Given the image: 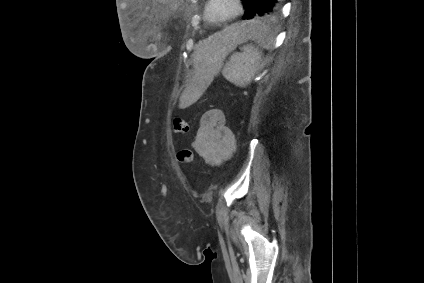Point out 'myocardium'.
Instances as JSON below:
<instances>
[{
  "label": "myocardium",
  "mask_w": 424,
  "mask_h": 283,
  "mask_svg": "<svg viewBox=\"0 0 424 283\" xmlns=\"http://www.w3.org/2000/svg\"><path fill=\"white\" fill-rule=\"evenodd\" d=\"M214 1L215 0H208L205 6L206 18L209 22L213 24H220V23L233 20L237 18L243 12V9H244L242 0H231V2L233 3V11L229 15L223 16V17H213L211 15L210 9Z\"/></svg>",
  "instance_id": "myocardium-1"
}]
</instances>
